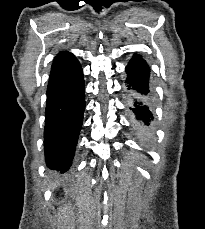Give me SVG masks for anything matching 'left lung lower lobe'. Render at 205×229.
I'll return each instance as SVG.
<instances>
[{"label": "left lung lower lobe", "mask_w": 205, "mask_h": 229, "mask_svg": "<svg viewBox=\"0 0 205 229\" xmlns=\"http://www.w3.org/2000/svg\"><path fill=\"white\" fill-rule=\"evenodd\" d=\"M125 72L126 106L131 116L135 133L143 140L150 139L153 131L151 107L150 69L147 62L134 54Z\"/></svg>", "instance_id": "1"}]
</instances>
